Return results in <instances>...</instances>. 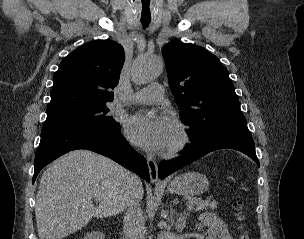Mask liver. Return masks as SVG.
Masks as SVG:
<instances>
[{"mask_svg":"<svg viewBox=\"0 0 304 239\" xmlns=\"http://www.w3.org/2000/svg\"><path fill=\"white\" fill-rule=\"evenodd\" d=\"M127 173L116 162L88 150H74L55 160L44 171L36 196L39 238L62 239L93 217L122 212ZM136 193L140 201L141 182Z\"/></svg>","mask_w":304,"mask_h":239,"instance_id":"liver-1","label":"liver"}]
</instances>
